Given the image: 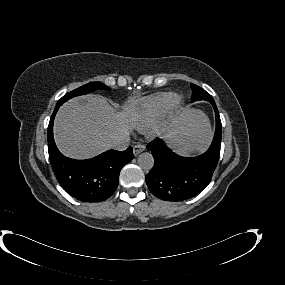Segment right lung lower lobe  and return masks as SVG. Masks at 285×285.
Listing matches in <instances>:
<instances>
[{
    "label": "right lung lower lobe",
    "mask_w": 285,
    "mask_h": 285,
    "mask_svg": "<svg viewBox=\"0 0 285 285\" xmlns=\"http://www.w3.org/2000/svg\"><path fill=\"white\" fill-rule=\"evenodd\" d=\"M61 105H56L48 126V152L61 187L83 202H101L112 196L122 167L134 158L133 149L106 151L92 159L74 160L62 155L53 138V122Z\"/></svg>",
    "instance_id": "98d812e1"
}]
</instances>
